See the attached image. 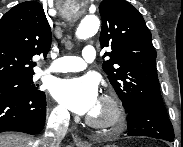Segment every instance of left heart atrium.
<instances>
[{
	"label": "left heart atrium",
	"mask_w": 183,
	"mask_h": 147,
	"mask_svg": "<svg viewBox=\"0 0 183 147\" xmlns=\"http://www.w3.org/2000/svg\"><path fill=\"white\" fill-rule=\"evenodd\" d=\"M51 91L65 108L81 115L90 114L99 102L97 82L90 76L58 79Z\"/></svg>",
	"instance_id": "obj_1"
}]
</instances>
